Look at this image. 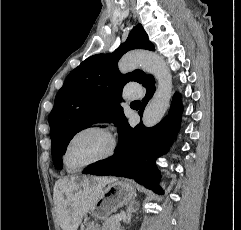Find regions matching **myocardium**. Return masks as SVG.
<instances>
[{
    "instance_id": "obj_1",
    "label": "myocardium",
    "mask_w": 241,
    "mask_h": 230,
    "mask_svg": "<svg viewBox=\"0 0 241 230\" xmlns=\"http://www.w3.org/2000/svg\"><path fill=\"white\" fill-rule=\"evenodd\" d=\"M90 130H97V131H101L104 134H106L107 137L109 138V141H110L109 149L107 150L106 153H104L100 157H97V158H95V159H93L91 161H88V162H86V163H84V164H82V165H80V166H78L76 168L69 167L68 162H67V153H68V149H69V146H70L72 140L76 136H78L79 134H81L83 132H86V131H90ZM116 151H117V141H116V138L113 135L112 131L110 130V128L108 126H106L105 124H103V123L96 122V123H91V124H88V125H85V126L81 127L80 129L75 131L69 137V139L67 140V142L65 144L64 150H63L62 160H63L64 166L66 167V169L68 171H73L74 172V171H79L81 169H84V168H87L89 166H92L94 164L106 161V160L112 158L115 155Z\"/></svg>"
}]
</instances>
